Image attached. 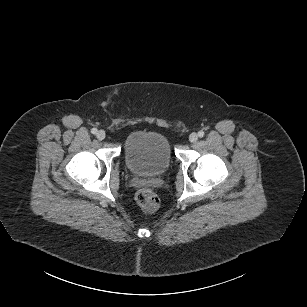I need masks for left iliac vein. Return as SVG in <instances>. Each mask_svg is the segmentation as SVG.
<instances>
[{
	"label": "left iliac vein",
	"instance_id": "1",
	"mask_svg": "<svg viewBox=\"0 0 307 307\" xmlns=\"http://www.w3.org/2000/svg\"><path fill=\"white\" fill-rule=\"evenodd\" d=\"M198 140V135L196 133H191L189 136V141L195 143Z\"/></svg>",
	"mask_w": 307,
	"mask_h": 307
}]
</instances>
